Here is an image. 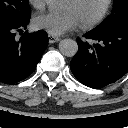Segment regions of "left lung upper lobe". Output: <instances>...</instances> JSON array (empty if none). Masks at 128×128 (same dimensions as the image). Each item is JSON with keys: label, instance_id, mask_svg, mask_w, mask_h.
Segmentation results:
<instances>
[{"label": "left lung upper lobe", "instance_id": "5c2ea615", "mask_svg": "<svg viewBox=\"0 0 128 128\" xmlns=\"http://www.w3.org/2000/svg\"><path fill=\"white\" fill-rule=\"evenodd\" d=\"M126 23H128V0H114L112 13L95 30L105 31Z\"/></svg>", "mask_w": 128, "mask_h": 128}]
</instances>
